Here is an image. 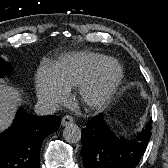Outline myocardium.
<instances>
[{"mask_svg": "<svg viewBox=\"0 0 168 168\" xmlns=\"http://www.w3.org/2000/svg\"><path fill=\"white\" fill-rule=\"evenodd\" d=\"M122 78L121 64L113 58H107L78 87L81 103L93 111L105 108L117 91Z\"/></svg>", "mask_w": 168, "mask_h": 168, "instance_id": "f54148a6", "label": "myocardium"}]
</instances>
